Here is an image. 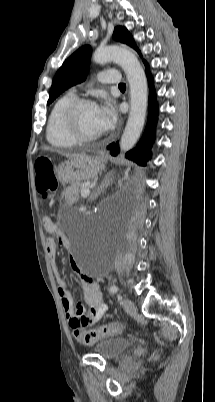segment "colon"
Listing matches in <instances>:
<instances>
[{"label": "colon", "instance_id": "colon-1", "mask_svg": "<svg viewBox=\"0 0 215 402\" xmlns=\"http://www.w3.org/2000/svg\"><path fill=\"white\" fill-rule=\"evenodd\" d=\"M53 157L41 156L35 161V183L38 193L43 199H47L50 194L56 191L58 188V181L53 170ZM53 221L49 217L43 219V225L46 228H50ZM124 325L120 322H112L106 325H102L95 329H74L76 339L83 344H92L102 338L114 336L122 333Z\"/></svg>", "mask_w": 215, "mask_h": 402}]
</instances>
